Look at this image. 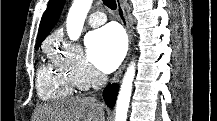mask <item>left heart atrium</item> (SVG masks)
<instances>
[{
  "instance_id": "39dd6f15",
  "label": "left heart atrium",
  "mask_w": 217,
  "mask_h": 121,
  "mask_svg": "<svg viewBox=\"0 0 217 121\" xmlns=\"http://www.w3.org/2000/svg\"><path fill=\"white\" fill-rule=\"evenodd\" d=\"M85 41L91 63L103 73L113 71L124 56L125 38L115 25H107L91 32Z\"/></svg>"
}]
</instances>
